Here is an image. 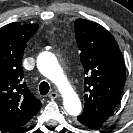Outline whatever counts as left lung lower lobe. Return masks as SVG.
Wrapping results in <instances>:
<instances>
[{
  "mask_svg": "<svg viewBox=\"0 0 133 133\" xmlns=\"http://www.w3.org/2000/svg\"><path fill=\"white\" fill-rule=\"evenodd\" d=\"M108 118L105 116H96L88 112H84L77 117L79 124L89 128H97L102 125Z\"/></svg>",
  "mask_w": 133,
  "mask_h": 133,
  "instance_id": "0a47b994",
  "label": "left lung lower lobe"
}]
</instances>
